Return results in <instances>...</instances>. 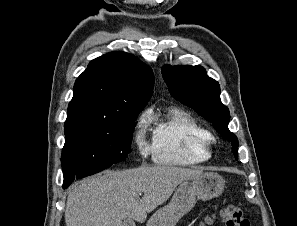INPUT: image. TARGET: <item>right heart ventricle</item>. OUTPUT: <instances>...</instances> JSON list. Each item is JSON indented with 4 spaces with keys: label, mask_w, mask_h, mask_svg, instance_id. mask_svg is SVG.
<instances>
[{
    "label": "right heart ventricle",
    "mask_w": 297,
    "mask_h": 226,
    "mask_svg": "<svg viewBox=\"0 0 297 226\" xmlns=\"http://www.w3.org/2000/svg\"><path fill=\"white\" fill-rule=\"evenodd\" d=\"M155 121L153 154L159 164L193 166L208 161L212 156V133L194 117L179 109L170 110Z\"/></svg>",
    "instance_id": "1"
}]
</instances>
